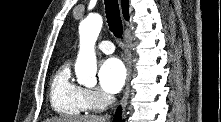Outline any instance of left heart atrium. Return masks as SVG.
I'll return each mask as SVG.
<instances>
[{
    "mask_svg": "<svg viewBox=\"0 0 221 122\" xmlns=\"http://www.w3.org/2000/svg\"><path fill=\"white\" fill-rule=\"evenodd\" d=\"M98 76L101 89L108 94H115L125 83L126 68L120 59L110 57L102 62Z\"/></svg>",
    "mask_w": 221,
    "mask_h": 122,
    "instance_id": "obj_1",
    "label": "left heart atrium"
}]
</instances>
